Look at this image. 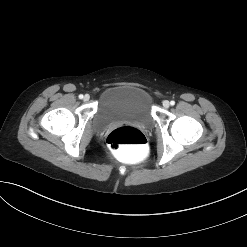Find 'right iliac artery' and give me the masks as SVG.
I'll use <instances>...</instances> for the list:
<instances>
[{
    "instance_id": "82829eb1",
    "label": "right iliac artery",
    "mask_w": 247,
    "mask_h": 247,
    "mask_svg": "<svg viewBox=\"0 0 247 247\" xmlns=\"http://www.w3.org/2000/svg\"><path fill=\"white\" fill-rule=\"evenodd\" d=\"M79 99H83V95L82 94L79 95Z\"/></svg>"
}]
</instances>
